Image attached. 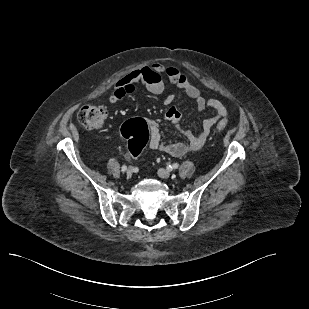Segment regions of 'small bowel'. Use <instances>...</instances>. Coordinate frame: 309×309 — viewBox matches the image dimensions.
I'll use <instances>...</instances> for the list:
<instances>
[{"mask_svg":"<svg viewBox=\"0 0 309 309\" xmlns=\"http://www.w3.org/2000/svg\"><path fill=\"white\" fill-rule=\"evenodd\" d=\"M166 77L177 90H182L188 97L193 99L198 110L209 108L213 111V115L205 119L199 133L191 134L179 131L184 138L183 141L164 142L156 119H148L146 121L149 129V145L152 149L168 153L172 156H182L188 152H194L203 147L206 143L212 128L217 122L223 120L228 112L224 104L218 99H205L198 87L193 85L188 78L175 67H167L162 64H152L141 69L134 70L120 78L114 85L108 101L111 104L120 102L125 96L134 92L137 84L143 85L149 92L153 94H162L165 90ZM173 96L167 97V103L172 102ZM164 119L170 122L178 129L181 120V113L175 108L170 107L164 114ZM130 158V154L126 155Z\"/></svg>","mask_w":309,"mask_h":309,"instance_id":"c3829d8e","label":"small bowel"}]
</instances>
